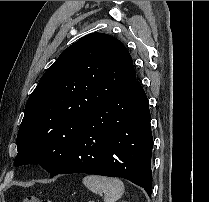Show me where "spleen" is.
I'll return each mask as SVG.
<instances>
[{
    "instance_id": "3e777b00",
    "label": "spleen",
    "mask_w": 209,
    "mask_h": 202,
    "mask_svg": "<svg viewBox=\"0 0 209 202\" xmlns=\"http://www.w3.org/2000/svg\"><path fill=\"white\" fill-rule=\"evenodd\" d=\"M83 184L93 193H103L104 202H116L124 193V184L118 178L87 175Z\"/></svg>"
}]
</instances>
